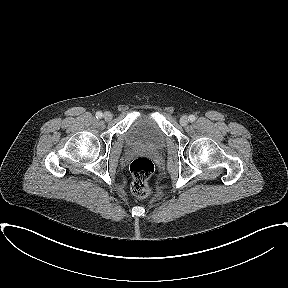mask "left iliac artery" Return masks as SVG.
<instances>
[{
    "mask_svg": "<svg viewBox=\"0 0 288 288\" xmlns=\"http://www.w3.org/2000/svg\"><path fill=\"white\" fill-rule=\"evenodd\" d=\"M188 120H189L190 122H194V121L196 120V117H195L194 115H190V116L188 117Z\"/></svg>",
    "mask_w": 288,
    "mask_h": 288,
    "instance_id": "1",
    "label": "left iliac artery"
}]
</instances>
